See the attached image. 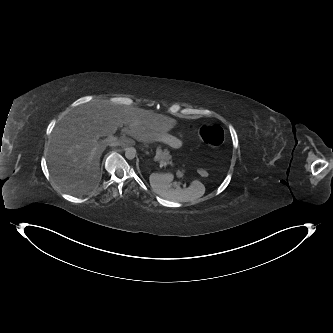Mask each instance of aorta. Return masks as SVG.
<instances>
[{
  "label": "aorta",
  "instance_id": "aorta-1",
  "mask_svg": "<svg viewBox=\"0 0 333 333\" xmlns=\"http://www.w3.org/2000/svg\"><path fill=\"white\" fill-rule=\"evenodd\" d=\"M135 156H136V149L133 147H128L125 151V157L128 160H132L135 158Z\"/></svg>",
  "mask_w": 333,
  "mask_h": 333
}]
</instances>
